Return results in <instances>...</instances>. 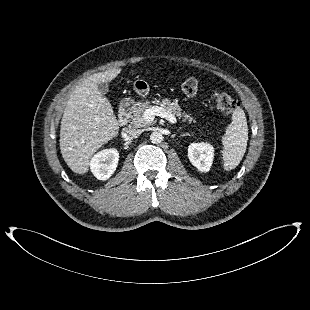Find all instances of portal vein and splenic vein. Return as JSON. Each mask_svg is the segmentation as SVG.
<instances>
[{"label":"portal vein and splenic vein","instance_id":"portal-vein-and-splenic-vein-1","mask_svg":"<svg viewBox=\"0 0 310 310\" xmlns=\"http://www.w3.org/2000/svg\"><path fill=\"white\" fill-rule=\"evenodd\" d=\"M155 116L165 118L171 123H176V117L162 107L153 106L144 112V118L147 122L153 121Z\"/></svg>","mask_w":310,"mask_h":310}]
</instances>
